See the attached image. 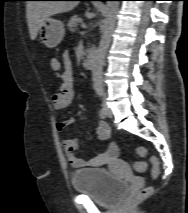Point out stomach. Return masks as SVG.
Returning a JSON list of instances; mask_svg holds the SVG:
<instances>
[{"instance_id":"1","label":"stomach","mask_w":188,"mask_h":213,"mask_svg":"<svg viewBox=\"0 0 188 213\" xmlns=\"http://www.w3.org/2000/svg\"><path fill=\"white\" fill-rule=\"evenodd\" d=\"M41 42L48 48L56 47L65 35L64 24L62 21L48 18L38 30Z\"/></svg>"}]
</instances>
